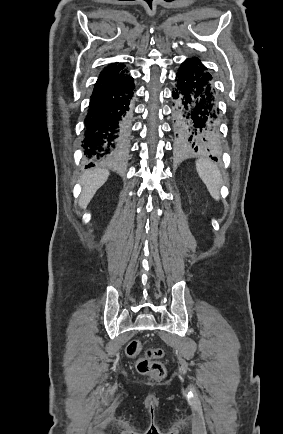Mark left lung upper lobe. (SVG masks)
<instances>
[{
  "mask_svg": "<svg viewBox=\"0 0 283 434\" xmlns=\"http://www.w3.org/2000/svg\"><path fill=\"white\" fill-rule=\"evenodd\" d=\"M191 60H193L195 63H197V64H199V65L205 67V66L200 62V60H199L198 58L193 57V59H191Z\"/></svg>",
  "mask_w": 283,
  "mask_h": 434,
  "instance_id": "1",
  "label": "left lung upper lobe"
}]
</instances>
